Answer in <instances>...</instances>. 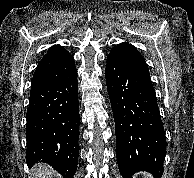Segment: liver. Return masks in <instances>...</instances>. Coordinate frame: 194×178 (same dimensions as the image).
Instances as JSON below:
<instances>
[{"label": "liver", "mask_w": 194, "mask_h": 178, "mask_svg": "<svg viewBox=\"0 0 194 178\" xmlns=\"http://www.w3.org/2000/svg\"><path fill=\"white\" fill-rule=\"evenodd\" d=\"M32 178H53V170L46 164H37L32 169Z\"/></svg>", "instance_id": "obj_1"}]
</instances>
